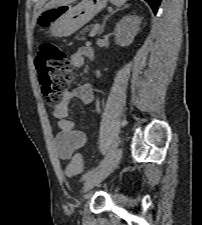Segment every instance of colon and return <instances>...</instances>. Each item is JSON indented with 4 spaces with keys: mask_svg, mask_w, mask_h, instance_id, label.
<instances>
[{
    "mask_svg": "<svg viewBox=\"0 0 202 225\" xmlns=\"http://www.w3.org/2000/svg\"><path fill=\"white\" fill-rule=\"evenodd\" d=\"M49 14L39 17V22L44 26L49 20ZM38 75L45 102L58 105L65 92L69 89L73 72L71 62L60 47L52 43H43L38 50ZM81 165L78 160H72L67 166V173L75 176L80 173Z\"/></svg>",
    "mask_w": 202,
    "mask_h": 225,
    "instance_id": "obj_1",
    "label": "colon"
}]
</instances>
